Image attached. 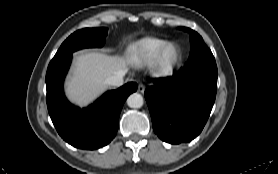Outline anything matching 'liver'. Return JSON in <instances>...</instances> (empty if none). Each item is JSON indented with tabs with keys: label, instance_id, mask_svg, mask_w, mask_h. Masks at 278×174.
I'll use <instances>...</instances> for the list:
<instances>
[{
	"label": "liver",
	"instance_id": "1",
	"mask_svg": "<svg viewBox=\"0 0 278 174\" xmlns=\"http://www.w3.org/2000/svg\"><path fill=\"white\" fill-rule=\"evenodd\" d=\"M128 63L123 57L95 51L77 55L65 83L67 98L79 107L88 106L108 89L107 78L126 71Z\"/></svg>",
	"mask_w": 278,
	"mask_h": 174
}]
</instances>
